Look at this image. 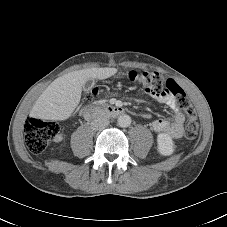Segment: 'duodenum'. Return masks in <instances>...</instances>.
I'll list each match as a JSON object with an SVG mask.
<instances>
[{"mask_svg":"<svg viewBox=\"0 0 227 227\" xmlns=\"http://www.w3.org/2000/svg\"><path fill=\"white\" fill-rule=\"evenodd\" d=\"M125 113V110L117 106H88L84 110V117L88 120L97 116L115 117Z\"/></svg>","mask_w":227,"mask_h":227,"instance_id":"410a0bca","label":"duodenum"}]
</instances>
